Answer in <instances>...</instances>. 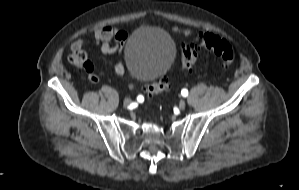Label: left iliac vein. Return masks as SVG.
<instances>
[{
	"label": "left iliac vein",
	"mask_w": 299,
	"mask_h": 190,
	"mask_svg": "<svg viewBox=\"0 0 299 190\" xmlns=\"http://www.w3.org/2000/svg\"><path fill=\"white\" fill-rule=\"evenodd\" d=\"M185 107H186V102H185L184 100H181V101L179 102V109H180V110H184Z\"/></svg>",
	"instance_id": "obj_1"
}]
</instances>
